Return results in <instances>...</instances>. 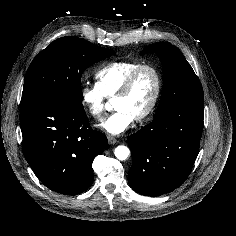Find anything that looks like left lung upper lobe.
<instances>
[{
	"mask_svg": "<svg viewBox=\"0 0 236 236\" xmlns=\"http://www.w3.org/2000/svg\"><path fill=\"white\" fill-rule=\"evenodd\" d=\"M156 53L163 65V90L155 117L167 109L185 103H204L203 89L183 54L170 43L147 46L141 55Z\"/></svg>",
	"mask_w": 236,
	"mask_h": 236,
	"instance_id": "obj_1",
	"label": "left lung upper lobe"
}]
</instances>
